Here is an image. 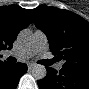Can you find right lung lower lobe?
Instances as JSON below:
<instances>
[{"label":"right lung lower lobe","instance_id":"right-lung-lower-lobe-1","mask_svg":"<svg viewBox=\"0 0 89 89\" xmlns=\"http://www.w3.org/2000/svg\"><path fill=\"white\" fill-rule=\"evenodd\" d=\"M27 71V65L24 63H16L8 65L0 62V83L5 88H14L17 86L20 77Z\"/></svg>","mask_w":89,"mask_h":89}]
</instances>
